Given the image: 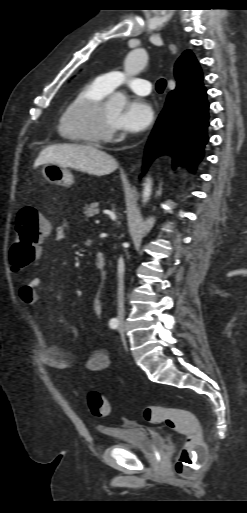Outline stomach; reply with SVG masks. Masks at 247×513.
Listing matches in <instances>:
<instances>
[{
  "instance_id": "0dacf381",
  "label": "stomach",
  "mask_w": 247,
  "mask_h": 513,
  "mask_svg": "<svg viewBox=\"0 0 247 513\" xmlns=\"http://www.w3.org/2000/svg\"><path fill=\"white\" fill-rule=\"evenodd\" d=\"M42 173L44 178L51 184L69 187L74 183V178L70 170L58 164H45Z\"/></svg>"
}]
</instances>
